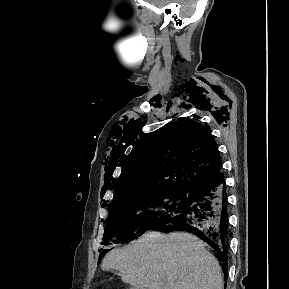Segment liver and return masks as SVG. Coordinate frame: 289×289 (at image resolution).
Segmentation results:
<instances>
[{"mask_svg": "<svg viewBox=\"0 0 289 289\" xmlns=\"http://www.w3.org/2000/svg\"><path fill=\"white\" fill-rule=\"evenodd\" d=\"M102 270H117L131 289H223L216 258L196 236L151 231L108 253Z\"/></svg>", "mask_w": 289, "mask_h": 289, "instance_id": "obj_1", "label": "liver"}]
</instances>
